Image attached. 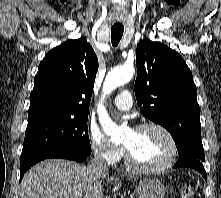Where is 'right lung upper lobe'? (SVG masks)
Segmentation results:
<instances>
[{"mask_svg":"<svg viewBox=\"0 0 221 198\" xmlns=\"http://www.w3.org/2000/svg\"><path fill=\"white\" fill-rule=\"evenodd\" d=\"M98 59L82 37L46 54L34 78L28 122L49 116H88Z\"/></svg>","mask_w":221,"mask_h":198,"instance_id":"cb5924a9","label":"right lung upper lobe"}]
</instances>
